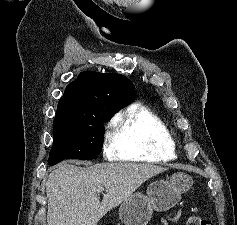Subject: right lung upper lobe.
I'll list each match as a JSON object with an SVG mask.
<instances>
[{
	"instance_id": "cb5924a9",
	"label": "right lung upper lobe",
	"mask_w": 237,
	"mask_h": 225,
	"mask_svg": "<svg viewBox=\"0 0 237 225\" xmlns=\"http://www.w3.org/2000/svg\"><path fill=\"white\" fill-rule=\"evenodd\" d=\"M133 83L117 73L83 72L60 99L55 119L91 121L102 111L117 112L135 97Z\"/></svg>"
}]
</instances>
